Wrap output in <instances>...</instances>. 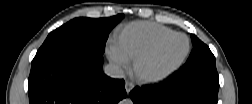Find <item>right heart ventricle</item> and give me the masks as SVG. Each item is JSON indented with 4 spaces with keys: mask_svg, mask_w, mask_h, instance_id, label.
<instances>
[{
    "mask_svg": "<svg viewBox=\"0 0 252 104\" xmlns=\"http://www.w3.org/2000/svg\"><path fill=\"white\" fill-rule=\"evenodd\" d=\"M171 33L152 22H133L118 34L114 44L128 61H132L152 43Z\"/></svg>",
    "mask_w": 252,
    "mask_h": 104,
    "instance_id": "obj_1",
    "label": "right heart ventricle"
}]
</instances>
